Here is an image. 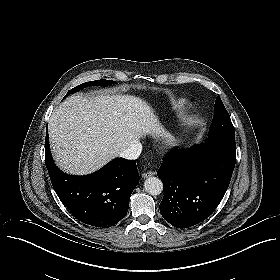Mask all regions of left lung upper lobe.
<instances>
[{
    "label": "left lung upper lobe",
    "mask_w": 280,
    "mask_h": 280,
    "mask_svg": "<svg viewBox=\"0 0 280 280\" xmlns=\"http://www.w3.org/2000/svg\"><path fill=\"white\" fill-rule=\"evenodd\" d=\"M215 114L209 128L207 143L222 144L236 147L235 131L230 116L218 96L215 101Z\"/></svg>",
    "instance_id": "1"
}]
</instances>
